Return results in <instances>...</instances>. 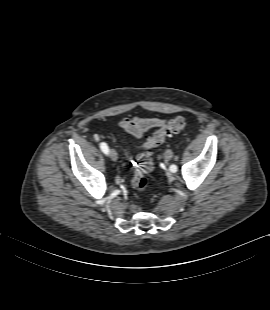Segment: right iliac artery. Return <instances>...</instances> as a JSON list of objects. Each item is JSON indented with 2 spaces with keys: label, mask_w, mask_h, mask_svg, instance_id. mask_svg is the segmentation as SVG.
Here are the masks:
<instances>
[{
  "label": "right iliac artery",
  "mask_w": 270,
  "mask_h": 310,
  "mask_svg": "<svg viewBox=\"0 0 270 310\" xmlns=\"http://www.w3.org/2000/svg\"><path fill=\"white\" fill-rule=\"evenodd\" d=\"M100 148L103 151L104 154H108L109 148L105 142L100 143Z\"/></svg>",
  "instance_id": "82829eb1"
}]
</instances>
